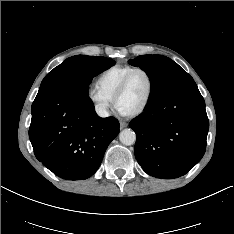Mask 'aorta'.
Here are the masks:
<instances>
[{
  "label": "aorta",
  "mask_w": 234,
  "mask_h": 234,
  "mask_svg": "<svg viewBox=\"0 0 234 234\" xmlns=\"http://www.w3.org/2000/svg\"><path fill=\"white\" fill-rule=\"evenodd\" d=\"M119 140L123 145L130 146L136 141V134L131 129H124L119 134Z\"/></svg>",
  "instance_id": "aorta-1"
}]
</instances>
